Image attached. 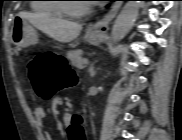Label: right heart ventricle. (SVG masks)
Returning <instances> with one entry per match:
<instances>
[{
    "instance_id": "obj_1",
    "label": "right heart ventricle",
    "mask_w": 182,
    "mask_h": 140,
    "mask_svg": "<svg viewBox=\"0 0 182 140\" xmlns=\"http://www.w3.org/2000/svg\"><path fill=\"white\" fill-rule=\"evenodd\" d=\"M56 1L58 0H32L30 7L36 13L49 16H62L59 4Z\"/></svg>"
}]
</instances>
